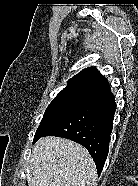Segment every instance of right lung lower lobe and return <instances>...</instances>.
Returning <instances> with one entry per match:
<instances>
[{
    "instance_id": "1",
    "label": "right lung lower lobe",
    "mask_w": 138,
    "mask_h": 186,
    "mask_svg": "<svg viewBox=\"0 0 138 186\" xmlns=\"http://www.w3.org/2000/svg\"><path fill=\"white\" fill-rule=\"evenodd\" d=\"M115 108L110 89L92 91L87 103L71 112L43 136L63 137L83 145L92 156L99 175L109 151Z\"/></svg>"
}]
</instances>
